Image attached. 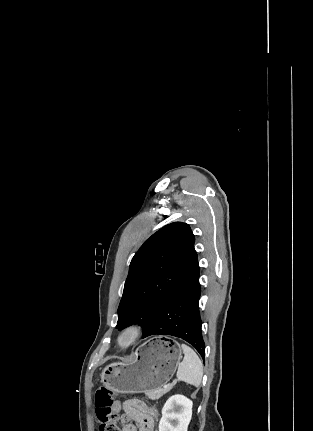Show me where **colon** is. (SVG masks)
<instances>
[{
  "label": "colon",
  "instance_id": "5ec220e1",
  "mask_svg": "<svg viewBox=\"0 0 313 431\" xmlns=\"http://www.w3.org/2000/svg\"><path fill=\"white\" fill-rule=\"evenodd\" d=\"M114 392L100 386L95 391V412L99 422V431H119L117 416L113 411Z\"/></svg>",
  "mask_w": 313,
  "mask_h": 431
}]
</instances>
